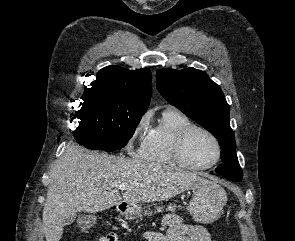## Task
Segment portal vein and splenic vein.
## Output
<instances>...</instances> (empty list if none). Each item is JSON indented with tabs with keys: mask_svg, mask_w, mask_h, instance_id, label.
Wrapping results in <instances>:
<instances>
[{
	"mask_svg": "<svg viewBox=\"0 0 295 241\" xmlns=\"http://www.w3.org/2000/svg\"><path fill=\"white\" fill-rule=\"evenodd\" d=\"M128 187H129V185H127V184H121V185L119 186V189L122 190V191H124V190H126Z\"/></svg>",
	"mask_w": 295,
	"mask_h": 241,
	"instance_id": "18ae733b",
	"label": "portal vein and splenic vein"
}]
</instances>
